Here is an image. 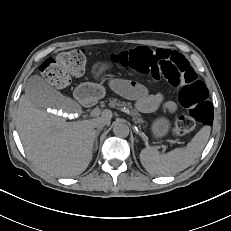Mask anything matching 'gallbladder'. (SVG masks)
Masks as SVG:
<instances>
[{
  "mask_svg": "<svg viewBox=\"0 0 231 231\" xmlns=\"http://www.w3.org/2000/svg\"><path fill=\"white\" fill-rule=\"evenodd\" d=\"M25 95L31 103L41 110L47 108L63 109L70 100L49 85L40 76H32L25 85Z\"/></svg>",
  "mask_w": 231,
  "mask_h": 231,
  "instance_id": "1",
  "label": "gallbladder"
}]
</instances>
